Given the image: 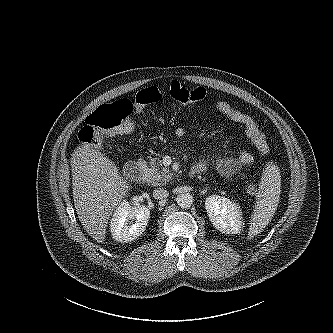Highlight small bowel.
<instances>
[{"mask_svg": "<svg viewBox=\"0 0 333 333\" xmlns=\"http://www.w3.org/2000/svg\"><path fill=\"white\" fill-rule=\"evenodd\" d=\"M215 108L229 120L239 124L243 128L247 138L255 146L261 157L268 154L269 145L267 138L252 117L236 109L229 102L224 100L216 101ZM185 133L186 131L183 127H178L175 130V135L179 138L183 137ZM208 162V159H202L195 166L200 168L203 172L206 170ZM212 162L222 175L225 177H233L243 168L251 166L254 163V156L247 151H241L236 157L216 156L213 158Z\"/></svg>", "mask_w": 333, "mask_h": 333, "instance_id": "obj_1", "label": "small bowel"}]
</instances>
